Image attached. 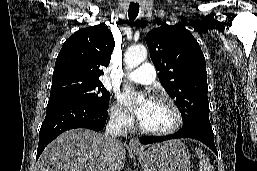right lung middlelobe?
<instances>
[{"label":"right lung middle lobe","mask_w":257,"mask_h":171,"mask_svg":"<svg viewBox=\"0 0 257 171\" xmlns=\"http://www.w3.org/2000/svg\"><path fill=\"white\" fill-rule=\"evenodd\" d=\"M109 92L102 82L75 83L51 90L49 102L61 100H79L101 110L108 109Z\"/></svg>","instance_id":"right-lung-middle-lobe-1"}]
</instances>
